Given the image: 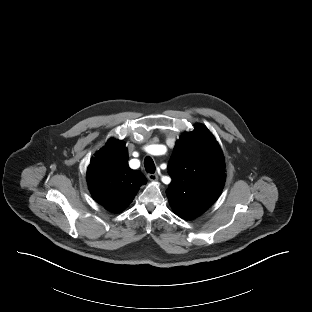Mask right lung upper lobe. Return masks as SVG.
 <instances>
[{
	"label": "right lung upper lobe",
	"instance_id": "right-lung-upper-lobe-1",
	"mask_svg": "<svg viewBox=\"0 0 312 312\" xmlns=\"http://www.w3.org/2000/svg\"><path fill=\"white\" fill-rule=\"evenodd\" d=\"M87 182L93 198L108 211L118 213L132 202L146 178L129 168L124 142L110 139L92 158Z\"/></svg>",
	"mask_w": 312,
	"mask_h": 312
}]
</instances>
